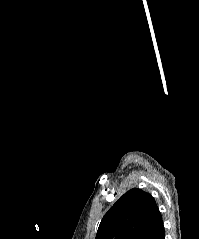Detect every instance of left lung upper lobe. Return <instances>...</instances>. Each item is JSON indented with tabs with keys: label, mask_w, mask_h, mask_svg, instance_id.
Returning <instances> with one entry per match:
<instances>
[{
	"label": "left lung upper lobe",
	"mask_w": 199,
	"mask_h": 239,
	"mask_svg": "<svg viewBox=\"0 0 199 239\" xmlns=\"http://www.w3.org/2000/svg\"><path fill=\"white\" fill-rule=\"evenodd\" d=\"M161 220L154 198L133 188L104 215L95 239H151Z\"/></svg>",
	"instance_id": "obj_1"
}]
</instances>
